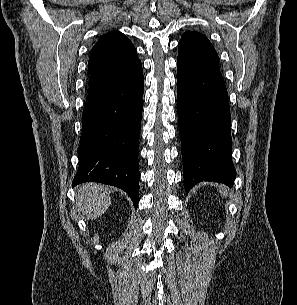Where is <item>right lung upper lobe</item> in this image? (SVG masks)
<instances>
[{
	"label": "right lung upper lobe",
	"instance_id": "cb5924a9",
	"mask_svg": "<svg viewBox=\"0 0 297 305\" xmlns=\"http://www.w3.org/2000/svg\"><path fill=\"white\" fill-rule=\"evenodd\" d=\"M140 61L131 41L122 33L103 35L93 46L88 61L89 87L109 82L134 68Z\"/></svg>",
	"mask_w": 297,
	"mask_h": 305
}]
</instances>
